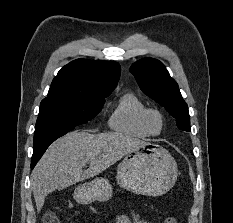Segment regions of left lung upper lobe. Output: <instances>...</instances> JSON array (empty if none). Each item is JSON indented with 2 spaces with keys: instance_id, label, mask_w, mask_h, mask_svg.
Instances as JSON below:
<instances>
[{
  "instance_id": "left-lung-upper-lobe-1",
  "label": "left lung upper lobe",
  "mask_w": 233,
  "mask_h": 223,
  "mask_svg": "<svg viewBox=\"0 0 233 223\" xmlns=\"http://www.w3.org/2000/svg\"><path fill=\"white\" fill-rule=\"evenodd\" d=\"M130 72L141 90L176 118L180 130L191 132L188 106L181 96L177 83L160 61L144 58L134 63Z\"/></svg>"
}]
</instances>
